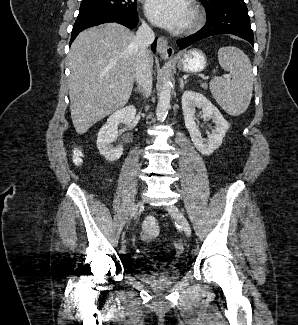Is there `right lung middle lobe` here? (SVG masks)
Segmentation results:
<instances>
[{"label": "right lung middle lobe", "mask_w": 298, "mask_h": 325, "mask_svg": "<svg viewBox=\"0 0 298 325\" xmlns=\"http://www.w3.org/2000/svg\"><path fill=\"white\" fill-rule=\"evenodd\" d=\"M136 5L132 0H82L79 15L112 10L134 12Z\"/></svg>", "instance_id": "1"}]
</instances>
